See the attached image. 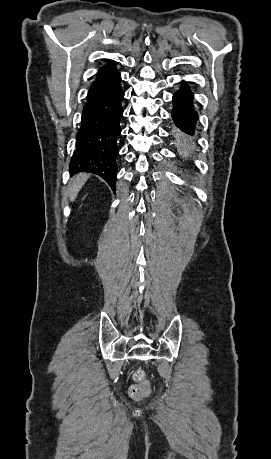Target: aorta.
<instances>
[{"label":"aorta","instance_id":"762f6f07","mask_svg":"<svg viewBox=\"0 0 271 459\" xmlns=\"http://www.w3.org/2000/svg\"><path fill=\"white\" fill-rule=\"evenodd\" d=\"M176 145L178 152L184 157L190 156L195 148L193 139L183 133H177Z\"/></svg>","mask_w":271,"mask_h":459}]
</instances>
